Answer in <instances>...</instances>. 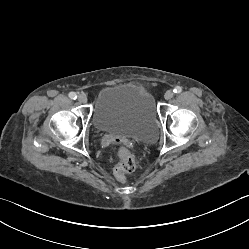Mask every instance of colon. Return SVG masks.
I'll return each instance as SVG.
<instances>
[{
	"instance_id": "obj_1",
	"label": "colon",
	"mask_w": 249,
	"mask_h": 249,
	"mask_svg": "<svg viewBox=\"0 0 249 249\" xmlns=\"http://www.w3.org/2000/svg\"><path fill=\"white\" fill-rule=\"evenodd\" d=\"M117 154L120 163L115 169V174L118 179L123 180L126 173H130L135 169V160L130 151L125 147H120Z\"/></svg>"
}]
</instances>
